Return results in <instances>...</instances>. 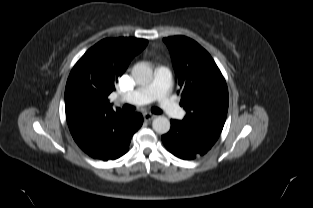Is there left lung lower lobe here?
Masks as SVG:
<instances>
[{"label": "left lung lower lobe", "instance_id": "left-lung-lower-lobe-1", "mask_svg": "<svg viewBox=\"0 0 313 208\" xmlns=\"http://www.w3.org/2000/svg\"><path fill=\"white\" fill-rule=\"evenodd\" d=\"M219 135L220 133L192 128L179 120H171L170 131L162 136V141L175 156L191 160L204 155Z\"/></svg>", "mask_w": 313, "mask_h": 208}]
</instances>
